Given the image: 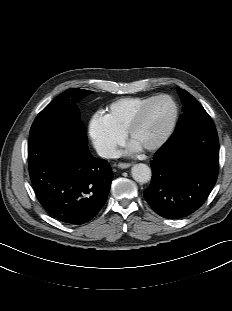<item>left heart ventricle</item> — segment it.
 Instances as JSON below:
<instances>
[{
    "label": "left heart ventricle",
    "mask_w": 232,
    "mask_h": 311,
    "mask_svg": "<svg viewBox=\"0 0 232 311\" xmlns=\"http://www.w3.org/2000/svg\"><path fill=\"white\" fill-rule=\"evenodd\" d=\"M173 106L168 100H159L147 110L143 120L131 135L130 142L141 149L155 142L168 126Z\"/></svg>",
    "instance_id": "1"
}]
</instances>
